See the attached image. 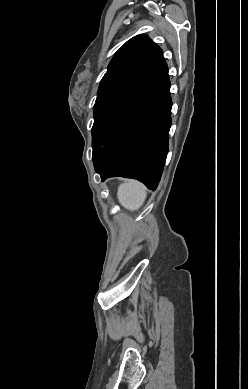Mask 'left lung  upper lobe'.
<instances>
[{
    "instance_id": "5c2ea615",
    "label": "left lung upper lobe",
    "mask_w": 248,
    "mask_h": 389,
    "mask_svg": "<svg viewBox=\"0 0 248 389\" xmlns=\"http://www.w3.org/2000/svg\"><path fill=\"white\" fill-rule=\"evenodd\" d=\"M161 48L147 35H137L123 44L109 63L93 108L94 120L116 97L130 87L160 56ZM105 140L92 133L93 151Z\"/></svg>"
}]
</instances>
